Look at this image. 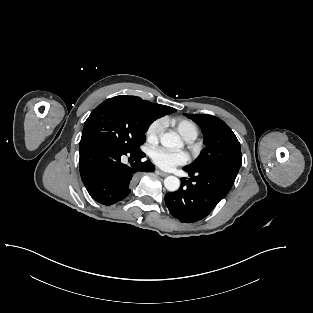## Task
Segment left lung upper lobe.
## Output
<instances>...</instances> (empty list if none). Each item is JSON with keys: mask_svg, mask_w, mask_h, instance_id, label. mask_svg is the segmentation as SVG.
Instances as JSON below:
<instances>
[{"mask_svg": "<svg viewBox=\"0 0 313 313\" xmlns=\"http://www.w3.org/2000/svg\"><path fill=\"white\" fill-rule=\"evenodd\" d=\"M184 115L201 127L206 144L200 156L184 168L191 171L227 169L238 172L242 164L240 143L229 126L207 114Z\"/></svg>", "mask_w": 313, "mask_h": 313, "instance_id": "5c2ea615", "label": "left lung upper lobe"}]
</instances>
